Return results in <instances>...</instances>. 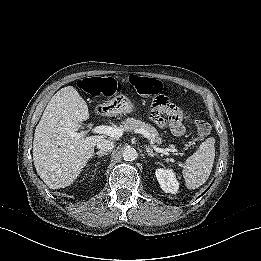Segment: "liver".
<instances>
[{"instance_id": "6515ba94", "label": "liver", "mask_w": 261, "mask_h": 261, "mask_svg": "<svg viewBox=\"0 0 261 261\" xmlns=\"http://www.w3.org/2000/svg\"><path fill=\"white\" fill-rule=\"evenodd\" d=\"M89 118L88 106L73 86L61 88L49 101L35 129L33 160L51 188L69 186L94 153L102 135L74 137Z\"/></svg>"}]
</instances>
